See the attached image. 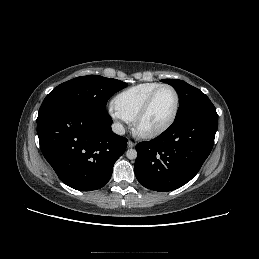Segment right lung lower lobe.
<instances>
[{
    "label": "right lung lower lobe",
    "instance_id": "right-lung-lower-lobe-1",
    "mask_svg": "<svg viewBox=\"0 0 259 259\" xmlns=\"http://www.w3.org/2000/svg\"><path fill=\"white\" fill-rule=\"evenodd\" d=\"M36 122L45 159L59 179L76 190L102 188L127 148V139L112 132L108 114L71 105L51 109Z\"/></svg>",
    "mask_w": 259,
    "mask_h": 259
}]
</instances>
